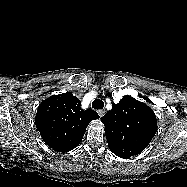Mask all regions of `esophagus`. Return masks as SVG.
<instances>
[{"instance_id": "1", "label": "esophagus", "mask_w": 187, "mask_h": 187, "mask_svg": "<svg viewBox=\"0 0 187 187\" xmlns=\"http://www.w3.org/2000/svg\"><path fill=\"white\" fill-rule=\"evenodd\" d=\"M98 114L100 117H102L105 114V109L98 110Z\"/></svg>"}]
</instances>
